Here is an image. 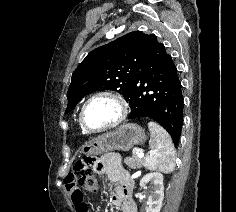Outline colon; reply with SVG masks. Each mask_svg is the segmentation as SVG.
<instances>
[{
  "label": "colon",
  "instance_id": "colon-1",
  "mask_svg": "<svg viewBox=\"0 0 236 212\" xmlns=\"http://www.w3.org/2000/svg\"><path fill=\"white\" fill-rule=\"evenodd\" d=\"M76 170L80 174L78 179L79 187L94 194L98 193L100 185L93 168V161L91 159H86L78 162Z\"/></svg>",
  "mask_w": 236,
  "mask_h": 212
}]
</instances>
